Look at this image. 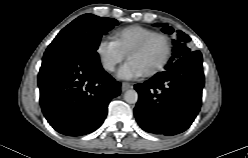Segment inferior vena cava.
Wrapping results in <instances>:
<instances>
[{
    "mask_svg": "<svg viewBox=\"0 0 248 158\" xmlns=\"http://www.w3.org/2000/svg\"><path fill=\"white\" fill-rule=\"evenodd\" d=\"M108 69H109V70H112V69H113V66L108 67Z\"/></svg>",
    "mask_w": 248,
    "mask_h": 158,
    "instance_id": "602c4592",
    "label": "inferior vena cava"
}]
</instances>
